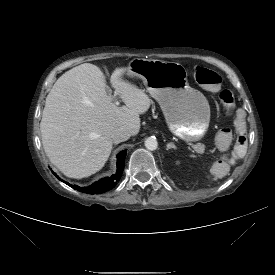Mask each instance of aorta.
<instances>
[{"mask_svg": "<svg viewBox=\"0 0 275 275\" xmlns=\"http://www.w3.org/2000/svg\"><path fill=\"white\" fill-rule=\"evenodd\" d=\"M145 147L148 150L153 151V150L157 149L158 143H157L156 139L149 137L145 140Z\"/></svg>", "mask_w": 275, "mask_h": 275, "instance_id": "obj_1", "label": "aorta"}]
</instances>
